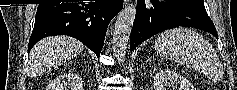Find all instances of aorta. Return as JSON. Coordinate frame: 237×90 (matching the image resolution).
Listing matches in <instances>:
<instances>
[{
  "mask_svg": "<svg viewBox=\"0 0 237 90\" xmlns=\"http://www.w3.org/2000/svg\"><path fill=\"white\" fill-rule=\"evenodd\" d=\"M137 4H126L119 12L112 34V52L116 60H124L136 18Z\"/></svg>",
  "mask_w": 237,
  "mask_h": 90,
  "instance_id": "1",
  "label": "aorta"
}]
</instances>
